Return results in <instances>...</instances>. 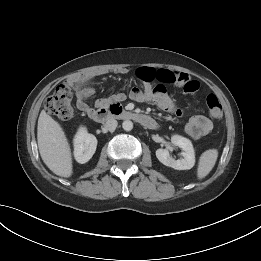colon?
Instances as JSON below:
<instances>
[{"label": "colon", "instance_id": "1", "mask_svg": "<svg viewBox=\"0 0 261 261\" xmlns=\"http://www.w3.org/2000/svg\"><path fill=\"white\" fill-rule=\"evenodd\" d=\"M209 116L212 119L222 117V107L218 98L214 94H209L206 98ZM46 110L62 120H68L73 117L74 109L72 106V91L66 84L59 85L52 96L45 104ZM178 115V113H176Z\"/></svg>", "mask_w": 261, "mask_h": 261}]
</instances>
